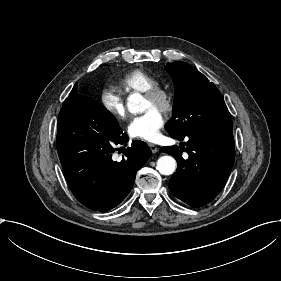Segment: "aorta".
Instances as JSON below:
<instances>
[{
  "label": "aorta",
  "instance_id": "obj_1",
  "mask_svg": "<svg viewBox=\"0 0 281 281\" xmlns=\"http://www.w3.org/2000/svg\"><path fill=\"white\" fill-rule=\"evenodd\" d=\"M127 108L130 113L138 114L145 110V100L139 93L129 95ZM156 169L162 175H171L176 170V160L172 156H162L157 161Z\"/></svg>",
  "mask_w": 281,
  "mask_h": 281
}]
</instances>
